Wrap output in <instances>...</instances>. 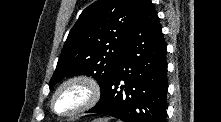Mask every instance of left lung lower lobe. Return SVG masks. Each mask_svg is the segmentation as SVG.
<instances>
[{"mask_svg": "<svg viewBox=\"0 0 221 122\" xmlns=\"http://www.w3.org/2000/svg\"><path fill=\"white\" fill-rule=\"evenodd\" d=\"M167 89L166 43L159 19L151 1L141 0L111 79L87 113L124 122H166Z\"/></svg>", "mask_w": 221, "mask_h": 122, "instance_id": "left-lung-lower-lobe-1", "label": "left lung lower lobe"}]
</instances>
